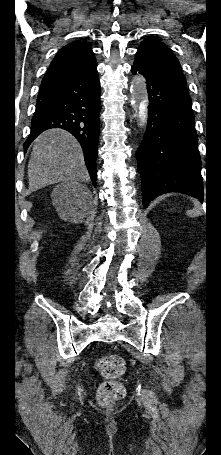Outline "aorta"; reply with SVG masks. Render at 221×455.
Segmentation results:
<instances>
[{
  "instance_id": "762f6f07",
  "label": "aorta",
  "mask_w": 221,
  "mask_h": 455,
  "mask_svg": "<svg viewBox=\"0 0 221 455\" xmlns=\"http://www.w3.org/2000/svg\"><path fill=\"white\" fill-rule=\"evenodd\" d=\"M130 93L134 118L140 127H145L148 119V101L144 96L141 77H135Z\"/></svg>"
}]
</instances>
